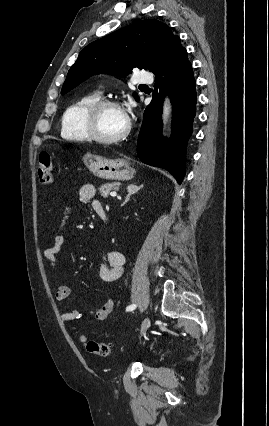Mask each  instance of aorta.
<instances>
[{"mask_svg":"<svg viewBox=\"0 0 269 426\" xmlns=\"http://www.w3.org/2000/svg\"><path fill=\"white\" fill-rule=\"evenodd\" d=\"M169 115H170V104H169V101L166 99L164 101V106H163V121H164V123H166V121L168 120Z\"/></svg>","mask_w":269,"mask_h":426,"instance_id":"762f6f07","label":"aorta"}]
</instances>
